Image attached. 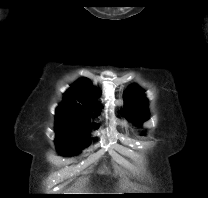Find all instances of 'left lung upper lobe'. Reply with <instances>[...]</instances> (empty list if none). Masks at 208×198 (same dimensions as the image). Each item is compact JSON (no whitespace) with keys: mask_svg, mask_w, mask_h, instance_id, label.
<instances>
[{"mask_svg":"<svg viewBox=\"0 0 208 198\" xmlns=\"http://www.w3.org/2000/svg\"><path fill=\"white\" fill-rule=\"evenodd\" d=\"M125 106L123 113L131 121L138 124L146 121L148 118V103L143 98V91L136 85L130 86L125 92Z\"/></svg>","mask_w":208,"mask_h":198,"instance_id":"left-lung-upper-lobe-1","label":"left lung upper lobe"}]
</instances>
